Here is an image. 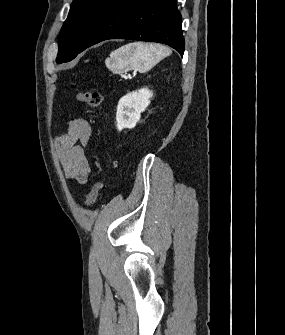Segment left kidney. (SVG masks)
<instances>
[{
  "instance_id": "5707ae66",
  "label": "left kidney",
  "mask_w": 285,
  "mask_h": 335,
  "mask_svg": "<svg viewBox=\"0 0 285 335\" xmlns=\"http://www.w3.org/2000/svg\"><path fill=\"white\" fill-rule=\"evenodd\" d=\"M153 92L148 88H142L137 92H130L123 98H120L116 112L117 130L121 132L124 128H135L141 118L142 112H145L150 104Z\"/></svg>"
}]
</instances>
